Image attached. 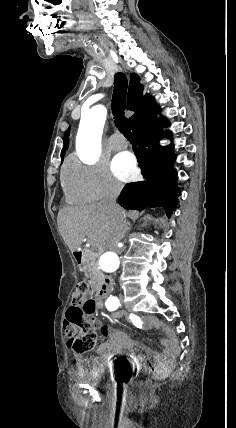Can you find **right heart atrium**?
I'll return each mask as SVG.
<instances>
[{
  "label": "right heart atrium",
  "mask_w": 236,
  "mask_h": 428,
  "mask_svg": "<svg viewBox=\"0 0 236 428\" xmlns=\"http://www.w3.org/2000/svg\"><path fill=\"white\" fill-rule=\"evenodd\" d=\"M62 185L67 198L74 204L88 206L95 200H116L124 189L103 161L92 163L71 160L66 166Z\"/></svg>",
  "instance_id": "1"
}]
</instances>
